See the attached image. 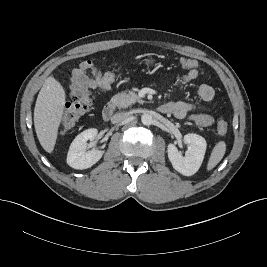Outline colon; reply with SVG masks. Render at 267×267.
<instances>
[{
    "instance_id": "1",
    "label": "colon",
    "mask_w": 267,
    "mask_h": 267,
    "mask_svg": "<svg viewBox=\"0 0 267 267\" xmlns=\"http://www.w3.org/2000/svg\"><path fill=\"white\" fill-rule=\"evenodd\" d=\"M181 65L184 69H198V62L194 59L182 58ZM117 73L108 71L101 75L95 89H107L116 80ZM92 104V91H78L71 96L70 101L66 104L61 120V132H69L78 122V120L89 111ZM228 131L227 123L220 120L217 123V132L220 136L226 135Z\"/></svg>"
}]
</instances>
